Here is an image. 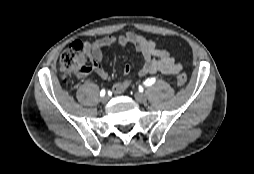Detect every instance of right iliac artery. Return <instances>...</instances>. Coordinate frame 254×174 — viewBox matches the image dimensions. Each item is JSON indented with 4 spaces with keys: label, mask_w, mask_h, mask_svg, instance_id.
I'll use <instances>...</instances> for the list:
<instances>
[{
    "label": "right iliac artery",
    "mask_w": 254,
    "mask_h": 174,
    "mask_svg": "<svg viewBox=\"0 0 254 174\" xmlns=\"http://www.w3.org/2000/svg\"><path fill=\"white\" fill-rule=\"evenodd\" d=\"M105 90L103 89V90H101V92H100V96L102 97V96H104L105 95Z\"/></svg>",
    "instance_id": "1"
}]
</instances>
